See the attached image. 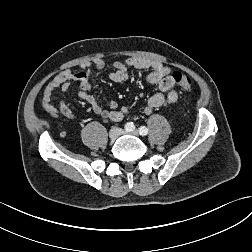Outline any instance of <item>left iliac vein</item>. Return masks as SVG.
I'll return each mask as SVG.
<instances>
[{"label": "left iliac vein", "mask_w": 252, "mask_h": 252, "mask_svg": "<svg viewBox=\"0 0 252 252\" xmlns=\"http://www.w3.org/2000/svg\"><path fill=\"white\" fill-rule=\"evenodd\" d=\"M131 134L135 135V136H138L139 135V131L138 130H134L131 132Z\"/></svg>", "instance_id": "1"}]
</instances>
